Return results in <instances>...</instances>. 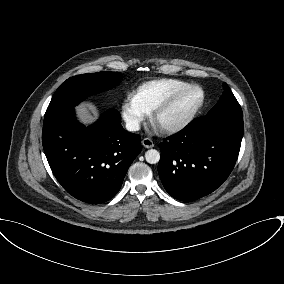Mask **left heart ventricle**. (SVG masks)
Listing matches in <instances>:
<instances>
[{"instance_id": "b2bd125f", "label": "left heart ventricle", "mask_w": 284, "mask_h": 284, "mask_svg": "<svg viewBox=\"0 0 284 284\" xmlns=\"http://www.w3.org/2000/svg\"><path fill=\"white\" fill-rule=\"evenodd\" d=\"M201 100V92L192 89L186 92L177 103L162 116V122H170L187 115Z\"/></svg>"}]
</instances>
